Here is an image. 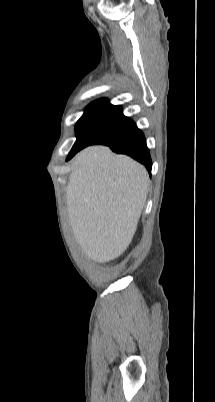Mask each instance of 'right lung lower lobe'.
<instances>
[{"label":"right lung lower lobe","instance_id":"1","mask_svg":"<svg viewBox=\"0 0 215 402\" xmlns=\"http://www.w3.org/2000/svg\"><path fill=\"white\" fill-rule=\"evenodd\" d=\"M104 145L109 146L116 153L131 156L138 162L144 164L148 172L151 173L152 161L149 150L146 146V140L141 130L138 129L135 124L120 138ZM86 146L88 145H81L71 150L67 159L73 157L78 151Z\"/></svg>","mask_w":215,"mask_h":402}]
</instances>
